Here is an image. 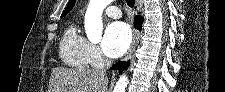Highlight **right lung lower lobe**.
Instances as JSON below:
<instances>
[{
    "label": "right lung lower lobe",
    "instance_id": "obj_1",
    "mask_svg": "<svg viewBox=\"0 0 225 92\" xmlns=\"http://www.w3.org/2000/svg\"><path fill=\"white\" fill-rule=\"evenodd\" d=\"M142 22H143V18L139 15L135 16V19H134V26L141 30V26H142ZM129 66V61L128 62H118L116 63L115 65L112 66L111 69H114V70H119V73H122L123 70H126Z\"/></svg>",
    "mask_w": 225,
    "mask_h": 92
}]
</instances>
